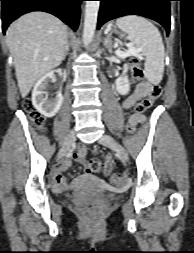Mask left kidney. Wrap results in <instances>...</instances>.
I'll return each instance as SVG.
<instances>
[{"label": "left kidney", "instance_id": "left-kidney-1", "mask_svg": "<svg viewBox=\"0 0 194 253\" xmlns=\"http://www.w3.org/2000/svg\"><path fill=\"white\" fill-rule=\"evenodd\" d=\"M128 69V65L125 64L123 67V75L115 81L116 90L121 95L128 94L130 90V84L127 76Z\"/></svg>", "mask_w": 194, "mask_h": 253}]
</instances>
